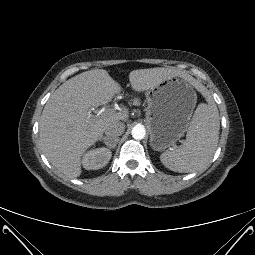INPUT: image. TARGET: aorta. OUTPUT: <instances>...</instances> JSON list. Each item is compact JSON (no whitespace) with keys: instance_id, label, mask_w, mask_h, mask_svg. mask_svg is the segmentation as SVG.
Listing matches in <instances>:
<instances>
[{"instance_id":"762f6f07","label":"aorta","mask_w":255,"mask_h":255,"mask_svg":"<svg viewBox=\"0 0 255 255\" xmlns=\"http://www.w3.org/2000/svg\"><path fill=\"white\" fill-rule=\"evenodd\" d=\"M131 134L135 140H142L146 135V131L144 126L136 125L132 128Z\"/></svg>"}]
</instances>
